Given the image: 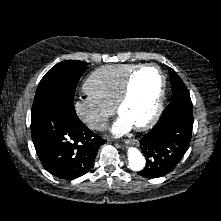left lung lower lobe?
<instances>
[{"instance_id": "0a47b994", "label": "left lung lower lobe", "mask_w": 221, "mask_h": 221, "mask_svg": "<svg viewBox=\"0 0 221 221\" xmlns=\"http://www.w3.org/2000/svg\"><path fill=\"white\" fill-rule=\"evenodd\" d=\"M193 122L192 104L167 107L157 124L140 141L146 166L138 174L157 178L171 172L190 144Z\"/></svg>"}]
</instances>
